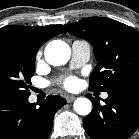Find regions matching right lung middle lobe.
I'll list each match as a JSON object with an SVG mask.
<instances>
[{
  "mask_svg": "<svg viewBox=\"0 0 139 139\" xmlns=\"http://www.w3.org/2000/svg\"><path fill=\"white\" fill-rule=\"evenodd\" d=\"M36 53L29 46L0 41V96L29 97Z\"/></svg>",
  "mask_w": 139,
  "mask_h": 139,
  "instance_id": "right-lung-middle-lobe-1",
  "label": "right lung middle lobe"
}]
</instances>
